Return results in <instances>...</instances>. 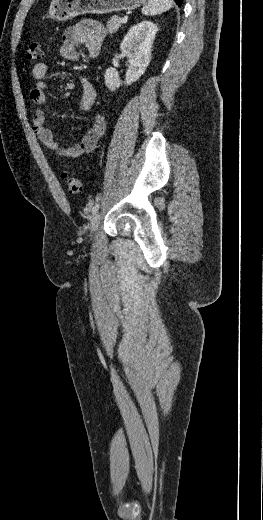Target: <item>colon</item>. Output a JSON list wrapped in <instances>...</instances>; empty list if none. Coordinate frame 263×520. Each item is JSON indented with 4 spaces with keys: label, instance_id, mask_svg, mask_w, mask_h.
Returning <instances> with one entry per match:
<instances>
[{
    "label": "colon",
    "instance_id": "5ec220e1",
    "mask_svg": "<svg viewBox=\"0 0 263 520\" xmlns=\"http://www.w3.org/2000/svg\"><path fill=\"white\" fill-rule=\"evenodd\" d=\"M27 58L29 60H39L42 56L41 45L38 41H31L27 49ZM62 178L66 183L67 190L70 194H79L82 191L80 180L66 172L62 173Z\"/></svg>",
    "mask_w": 263,
    "mask_h": 520
}]
</instances>
